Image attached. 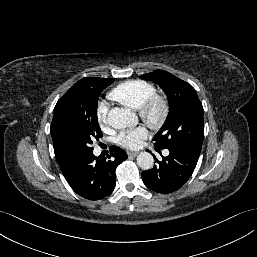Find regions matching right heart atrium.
Segmentation results:
<instances>
[{
	"label": "right heart atrium",
	"mask_w": 257,
	"mask_h": 257,
	"mask_svg": "<svg viewBox=\"0 0 257 257\" xmlns=\"http://www.w3.org/2000/svg\"><path fill=\"white\" fill-rule=\"evenodd\" d=\"M107 106L105 104H100L97 113V120L101 127L107 124Z\"/></svg>",
	"instance_id": "obj_1"
}]
</instances>
